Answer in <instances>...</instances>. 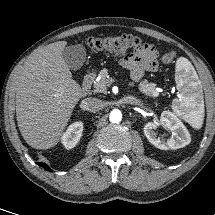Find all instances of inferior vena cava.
I'll return each mask as SVG.
<instances>
[{
    "instance_id": "obj_1",
    "label": "inferior vena cava",
    "mask_w": 215,
    "mask_h": 215,
    "mask_svg": "<svg viewBox=\"0 0 215 215\" xmlns=\"http://www.w3.org/2000/svg\"><path fill=\"white\" fill-rule=\"evenodd\" d=\"M104 107V102L100 99L89 97L82 101V108L87 111L97 112Z\"/></svg>"
}]
</instances>
